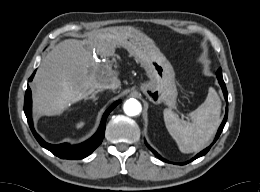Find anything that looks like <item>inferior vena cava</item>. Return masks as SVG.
Here are the masks:
<instances>
[{
	"label": "inferior vena cava",
	"mask_w": 260,
	"mask_h": 192,
	"mask_svg": "<svg viewBox=\"0 0 260 192\" xmlns=\"http://www.w3.org/2000/svg\"><path fill=\"white\" fill-rule=\"evenodd\" d=\"M121 85V82L119 79L115 78L111 81H109L108 83L102 84L99 89H110V90H115L117 88H119Z\"/></svg>",
	"instance_id": "inferior-vena-cava-1"
}]
</instances>
